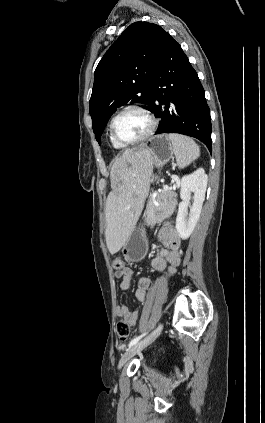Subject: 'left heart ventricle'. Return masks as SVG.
<instances>
[{"mask_svg":"<svg viewBox=\"0 0 265 423\" xmlns=\"http://www.w3.org/2000/svg\"><path fill=\"white\" fill-rule=\"evenodd\" d=\"M148 128V119L136 111H129L122 114L114 123L116 136L124 141H131L141 137L147 132Z\"/></svg>","mask_w":265,"mask_h":423,"instance_id":"1","label":"left heart ventricle"}]
</instances>
